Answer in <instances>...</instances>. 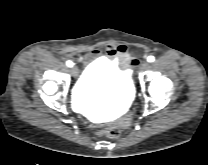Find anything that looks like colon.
Masks as SVG:
<instances>
[{"label": "colon", "instance_id": "obj_1", "mask_svg": "<svg viewBox=\"0 0 208 165\" xmlns=\"http://www.w3.org/2000/svg\"><path fill=\"white\" fill-rule=\"evenodd\" d=\"M119 134H120V130L115 126L107 127L102 131L98 132V135L105 136L108 138H117Z\"/></svg>", "mask_w": 208, "mask_h": 165}]
</instances>
